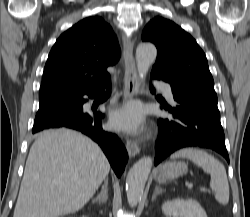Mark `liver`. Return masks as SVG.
<instances>
[{
    "mask_svg": "<svg viewBox=\"0 0 250 217\" xmlns=\"http://www.w3.org/2000/svg\"><path fill=\"white\" fill-rule=\"evenodd\" d=\"M110 171L100 147L82 134L46 130L31 146L13 217H59L79 211Z\"/></svg>",
    "mask_w": 250,
    "mask_h": 217,
    "instance_id": "1",
    "label": "liver"
}]
</instances>
